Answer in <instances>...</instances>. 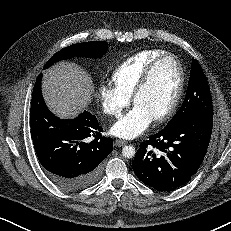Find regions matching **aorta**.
I'll return each mask as SVG.
<instances>
[{
  "mask_svg": "<svg viewBox=\"0 0 231 231\" xmlns=\"http://www.w3.org/2000/svg\"><path fill=\"white\" fill-rule=\"evenodd\" d=\"M122 155L128 159L134 157L135 156V148L133 146H130V145L123 147Z\"/></svg>",
  "mask_w": 231,
  "mask_h": 231,
  "instance_id": "762f6f07",
  "label": "aorta"
}]
</instances>
